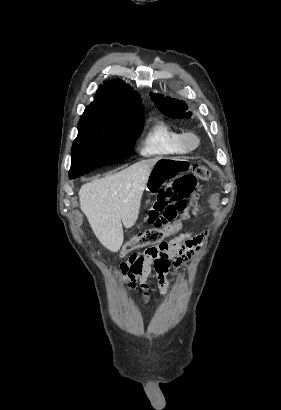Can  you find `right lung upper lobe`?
Returning <instances> with one entry per match:
<instances>
[{"label":"right lung upper lobe","mask_w":281,"mask_h":410,"mask_svg":"<svg viewBox=\"0 0 281 410\" xmlns=\"http://www.w3.org/2000/svg\"><path fill=\"white\" fill-rule=\"evenodd\" d=\"M84 113L104 119L130 120L144 115L141 98L122 80L104 82Z\"/></svg>","instance_id":"obj_1"}]
</instances>
